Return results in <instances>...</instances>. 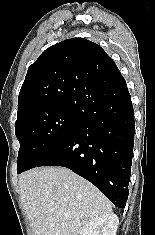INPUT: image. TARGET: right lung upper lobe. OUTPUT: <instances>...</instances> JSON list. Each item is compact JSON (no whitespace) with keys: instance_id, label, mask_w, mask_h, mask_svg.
Returning <instances> with one entry per match:
<instances>
[{"instance_id":"cb5924a9","label":"right lung upper lobe","mask_w":155,"mask_h":235,"mask_svg":"<svg viewBox=\"0 0 155 235\" xmlns=\"http://www.w3.org/2000/svg\"><path fill=\"white\" fill-rule=\"evenodd\" d=\"M121 76L96 43L72 38L46 49L28 68L18 96V116L44 105L78 109L97 86Z\"/></svg>"}]
</instances>
